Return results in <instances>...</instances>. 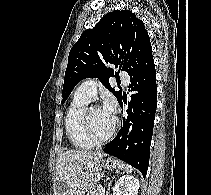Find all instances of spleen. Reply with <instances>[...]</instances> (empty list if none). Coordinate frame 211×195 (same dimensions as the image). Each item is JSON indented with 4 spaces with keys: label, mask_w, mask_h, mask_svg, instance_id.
Returning a JSON list of instances; mask_svg holds the SVG:
<instances>
[{
    "label": "spleen",
    "mask_w": 211,
    "mask_h": 195,
    "mask_svg": "<svg viewBox=\"0 0 211 195\" xmlns=\"http://www.w3.org/2000/svg\"><path fill=\"white\" fill-rule=\"evenodd\" d=\"M125 171H126L127 173H131V172L133 171L132 166L126 165V166H125Z\"/></svg>",
    "instance_id": "3e777b00"
}]
</instances>
